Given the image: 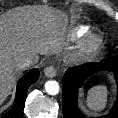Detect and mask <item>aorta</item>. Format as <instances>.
<instances>
[{"label":"aorta","instance_id":"1","mask_svg":"<svg viewBox=\"0 0 118 118\" xmlns=\"http://www.w3.org/2000/svg\"><path fill=\"white\" fill-rule=\"evenodd\" d=\"M44 89L49 95H57L60 91L59 83L55 80L46 81Z\"/></svg>","mask_w":118,"mask_h":118}]
</instances>
